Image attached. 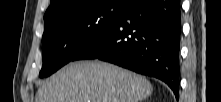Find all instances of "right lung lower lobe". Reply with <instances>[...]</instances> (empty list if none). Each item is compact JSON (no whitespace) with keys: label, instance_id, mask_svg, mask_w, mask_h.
Instances as JSON below:
<instances>
[{"label":"right lung lower lobe","instance_id":"98d812e1","mask_svg":"<svg viewBox=\"0 0 221 102\" xmlns=\"http://www.w3.org/2000/svg\"><path fill=\"white\" fill-rule=\"evenodd\" d=\"M178 0H131L121 18L73 59H100L164 81L179 97Z\"/></svg>","mask_w":221,"mask_h":102}]
</instances>
